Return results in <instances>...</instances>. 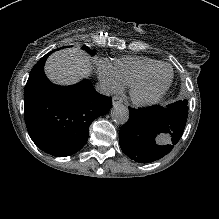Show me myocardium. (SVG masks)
I'll return each mask as SVG.
<instances>
[{
  "mask_svg": "<svg viewBox=\"0 0 219 219\" xmlns=\"http://www.w3.org/2000/svg\"><path fill=\"white\" fill-rule=\"evenodd\" d=\"M161 67H166L170 71V77H169V80H168L166 86L162 90H160L156 95H154L152 97L142 98V97L138 96V94H137L138 89L140 87H142L146 83L148 78L157 69H159ZM173 77H174L173 70H172L171 66L167 63H158L157 65L151 67L130 86L129 96H130L132 103L134 105H136L138 107H142V108L156 105L157 103H159L163 99V97L165 96V94L169 90V88L173 82Z\"/></svg>",
  "mask_w": 219,
  "mask_h": 219,
  "instance_id": "1",
  "label": "myocardium"
}]
</instances>
